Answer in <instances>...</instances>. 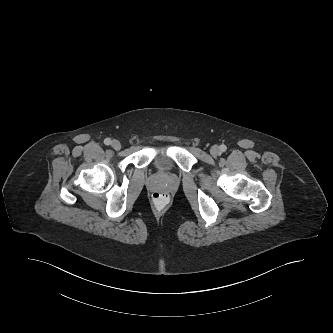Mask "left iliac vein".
I'll use <instances>...</instances> for the list:
<instances>
[{
	"label": "left iliac vein",
	"instance_id": "1",
	"mask_svg": "<svg viewBox=\"0 0 333 333\" xmlns=\"http://www.w3.org/2000/svg\"><path fill=\"white\" fill-rule=\"evenodd\" d=\"M210 153L212 156L216 157L220 154V148L217 145H214L210 148Z\"/></svg>",
	"mask_w": 333,
	"mask_h": 333
}]
</instances>
